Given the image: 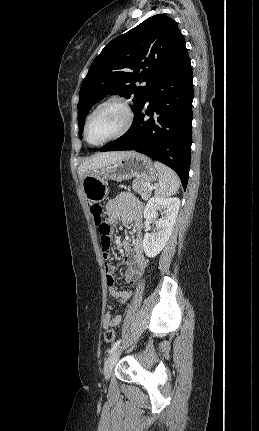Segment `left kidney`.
<instances>
[{
  "label": "left kidney",
  "instance_id": "obj_1",
  "mask_svg": "<svg viewBox=\"0 0 259 431\" xmlns=\"http://www.w3.org/2000/svg\"><path fill=\"white\" fill-rule=\"evenodd\" d=\"M179 207L180 200L177 197L154 196L148 201L144 209L146 220L156 219L158 210H163V212L162 217L156 221V231L144 235L143 248L146 256L155 257L165 247L176 222Z\"/></svg>",
  "mask_w": 259,
  "mask_h": 431
}]
</instances>
